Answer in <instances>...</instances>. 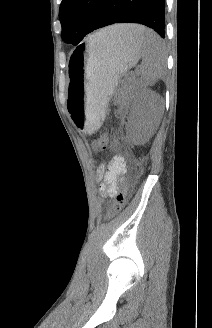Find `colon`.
<instances>
[{
  "label": "colon",
  "mask_w": 212,
  "mask_h": 328,
  "mask_svg": "<svg viewBox=\"0 0 212 328\" xmlns=\"http://www.w3.org/2000/svg\"><path fill=\"white\" fill-rule=\"evenodd\" d=\"M109 144V138L107 134L102 133L93 142V149L95 151H104ZM128 195V184H126L115 197L114 203L110 206L106 213V219L110 220L114 218L124 207Z\"/></svg>",
  "instance_id": "5ec220e1"
}]
</instances>
